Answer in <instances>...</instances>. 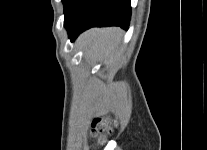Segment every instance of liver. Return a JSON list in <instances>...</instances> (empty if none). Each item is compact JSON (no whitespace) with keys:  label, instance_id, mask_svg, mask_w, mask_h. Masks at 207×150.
Masks as SVG:
<instances>
[{"label":"liver","instance_id":"obj_1","mask_svg":"<svg viewBox=\"0 0 207 150\" xmlns=\"http://www.w3.org/2000/svg\"><path fill=\"white\" fill-rule=\"evenodd\" d=\"M123 31L120 28H93L83 33L77 43L85 51V57L112 63L119 53ZM75 107L80 115L91 119L108 111L102 90L94 85H83L74 97Z\"/></svg>","mask_w":207,"mask_h":150}]
</instances>
